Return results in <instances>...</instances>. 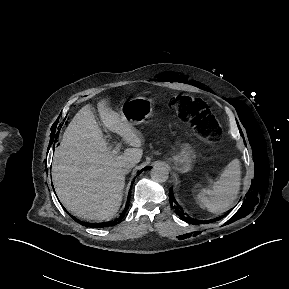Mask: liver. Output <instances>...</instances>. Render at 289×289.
I'll list each match as a JSON object with an SVG mask.
<instances>
[{"label": "liver", "instance_id": "obj_1", "mask_svg": "<svg viewBox=\"0 0 289 289\" xmlns=\"http://www.w3.org/2000/svg\"><path fill=\"white\" fill-rule=\"evenodd\" d=\"M100 119L110 131L120 135L131 146L114 156L96 121L92 105L82 107L66 128L52 163V181L63 206L86 220L112 218L119 210L125 173L122 165L139 163L142 139L124 117L107 107L106 100L97 103Z\"/></svg>", "mask_w": 289, "mask_h": 289}]
</instances>
